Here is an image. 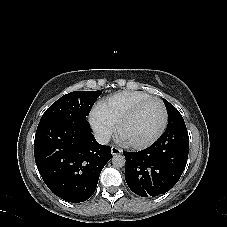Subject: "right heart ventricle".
Masks as SVG:
<instances>
[{
	"label": "right heart ventricle",
	"mask_w": 227,
	"mask_h": 227,
	"mask_svg": "<svg viewBox=\"0 0 227 227\" xmlns=\"http://www.w3.org/2000/svg\"><path fill=\"white\" fill-rule=\"evenodd\" d=\"M148 97L149 94L140 91L117 92L102 100L97 105V110L115 125L137 103Z\"/></svg>",
	"instance_id": "obj_1"
}]
</instances>
